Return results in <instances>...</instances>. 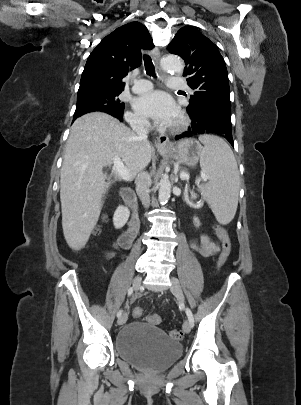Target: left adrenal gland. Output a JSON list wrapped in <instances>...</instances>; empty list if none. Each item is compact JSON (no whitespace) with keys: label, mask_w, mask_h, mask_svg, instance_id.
I'll return each instance as SVG.
<instances>
[{"label":"left adrenal gland","mask_w":301,"mask_h":405,"mask_svg":"<svg viewBox=\"0 0 301 405\" xmlns=\"http://www.w3.org/2000/svg\"><path fill=\"white\" fill-rule=\"evenodd\" d=\"M178 180V178H177V176L175 177V181H177Z\"/></svg>","instance_id":"obj_1"}]
</instances>
